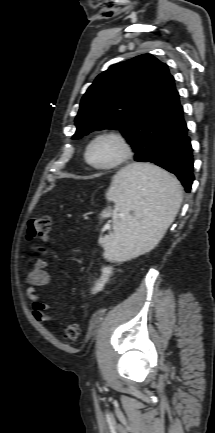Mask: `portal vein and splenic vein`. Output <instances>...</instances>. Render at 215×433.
<instances>
[{"label": "portal vein and splenic vein", "mask_w": 215, "mask_h": 433, "mask_svg": "<svg viewBox=\"0 0 215 433\" xmlns=\"http://www.w3.org/2000/svg\"><path fill=\"white\" fill-rule=\"evenodd\" d=\"M107 228H110V225H109V224L107 225Z\"/></svg>", "instance_id": "18ae733b"}]
</instances>
